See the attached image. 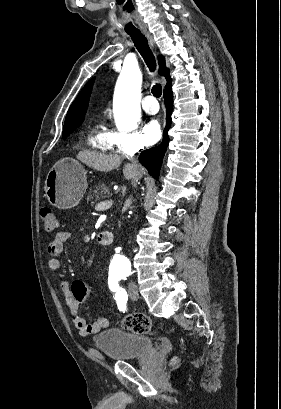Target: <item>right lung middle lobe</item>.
<instances>
[{"label": "right lung middle lobe", "mask_w": 281, "mask_h": 409, "mask_svg": "<svg viewBox=\"0 0 281 409\" xmlns=\"http://www.w3.org/2000/svg\"><path fill=\"white\" fill-rule=\"evenodd\" d=\"M79 125L64 126L63 127V139H66L70 133H72Z\"/></svg>", "instance_id": "obj_1"}]
</instances>
